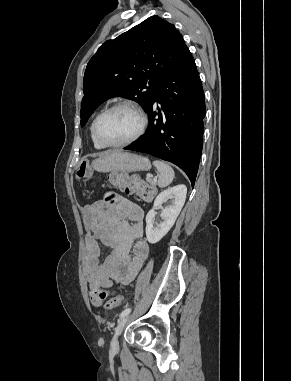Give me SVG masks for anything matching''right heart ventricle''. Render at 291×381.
<instances>
[{"label": "right heart ventricle", "mask_w": 291, "mask_h": 381, "mask_svg": "<svg viewBox=\"0 0 291 381\" xmlns=\"http://www.w3.org/2000/svg\"><path fill=\"white\" fill-rule=\"evenodd\" d=\"M106 108H102L98 111V113L95 115V117L93 118L92 122H91V125H90V136H91V140H92V143H93V146L96 148V149H103L105 148V146H103L101 143H99V141L96 139L95 135H94V130H93V125H94V121L95 119L97 118V116L103 111L105 110Z\"/></svg>", "instance_id": "right-heart-ventricle-1"}]
</instances>
